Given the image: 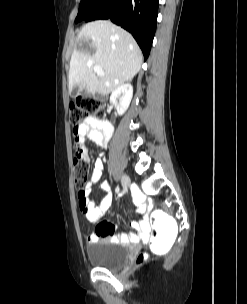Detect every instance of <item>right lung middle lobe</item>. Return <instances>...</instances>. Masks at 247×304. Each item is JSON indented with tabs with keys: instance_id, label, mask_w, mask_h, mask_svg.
Masks as SVG:
<instances>
[{
	"instance_id": "dd1d6c3e",
	"label": "right lung middle lobe",
	"mask_w": 247,
	"mask_h": 304,
	"mask_svg": "<svg viewBox=\"0 0 247 304\" xmlns=\"http://www.w3.org/2000/svg\"><path fill=\"white\" fill-rule=\"evenodd\" d=\"M104 0H81L75 23L85 20L94 13Z\"/></svg>"
}]
</instances>
